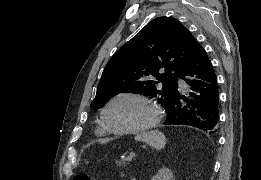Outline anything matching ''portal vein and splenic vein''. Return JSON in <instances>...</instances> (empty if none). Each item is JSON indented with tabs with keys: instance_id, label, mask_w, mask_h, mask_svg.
Here are the masks:
<instances>
[{
	"instance_id": "1",
	"label": "portal vein and splenic vein",
	"mask_w": 261,
	"mask_h": 180,
	"mask_svg": "<svg viewBox=\"0 0 261 180\" xmlns=\"http://www.w3.org/2000/svg\"><path fill=\"white\" fill-rule=\"evenodd\" d=\"M132 155H135V154H133V152H131V154H129L128 158L126 159L127 163H132L134 161V160H132Z\"/></svg>"
}]
</instances>
